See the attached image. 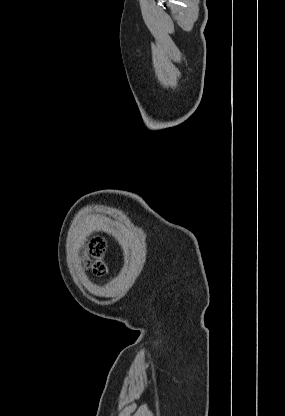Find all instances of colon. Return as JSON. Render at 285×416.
Returning a JSON list of instances; mask_svg holds the SVG:
<instances>
[{
    "label": "colon",
    "instance_id": "5ec220e1",
    "mask_svg": "<svg viewBox=\"0 0 285 416\" xmlns=\"http://www.w3.org/2000/svg\"><path fill=\"white\" fill-rule=\"evenodd\" d=\"M106 242L103 238H96L90 242L89 245V256L88 267L96 275H103L106 273V265L103 261V257L106 251Z\"/></svg>",
    "mask_w": 285,
    "mask_h": 416
}]
</instances>
